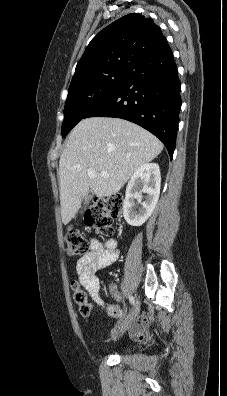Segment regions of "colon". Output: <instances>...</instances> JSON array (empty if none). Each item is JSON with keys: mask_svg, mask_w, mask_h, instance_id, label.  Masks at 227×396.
Segmentation results:
<instances>
[{"mask_svg": "<svg viewBox=\"0 0 227 396\" xmlns=\"http://www.w3.org/2000/svg\"><path fill=\"white\" fill-rule=\"evenodd\" d=\"M123 203L120 195L96 199L85 213V223L102 237H110L114 231L113 221L122 213ZM66 249L70 256L86 255L89 251L88 241L81 233L71 231L66 236ZM72 289L74 301L79 305L81 314L88 316L92 306L87 301V294L76 281L72 282ZM108 312L115 315L114 307H109Z\"/></svg>", "mask_w": 227, "mask_h": 396, "instance_id": "1", "label": "colon"}]
</instances>
